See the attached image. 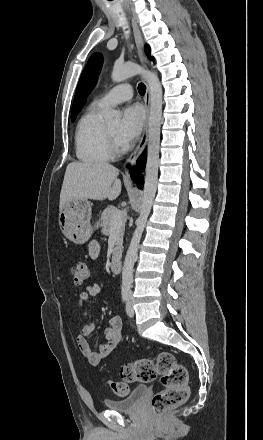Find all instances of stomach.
Listing matches in <instances>:
<instances>
[{
	"instance_id": "1",
	"label": "stomach",
	"mask_w": 263,
	"mask_h": 440,
	"mask_svg": "<svg viewBox=\"0 0 263 440\" xmlns=\"http://www.w3.org/2000/svg\"><path fill=\"white\" fill-rule=\"evenodd\" d=\"M92 204L87 199L66 202L59 212V226L66 238L83 244L93 233L91 224Z\"/></svg>"
}]
</instances>
